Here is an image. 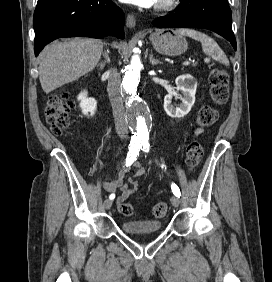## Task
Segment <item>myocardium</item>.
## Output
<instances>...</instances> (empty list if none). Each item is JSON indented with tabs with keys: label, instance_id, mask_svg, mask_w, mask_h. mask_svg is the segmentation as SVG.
<instances>
[{
	"label": "myocardium",
	"instance_id": "myocardium-1",
	"mask_svg": "<svg viewBox=\"0 0 272 282\" xmlns=\"http://www.w3.org/2000/svg\"><path fill=\"white\" fill-rule=\"evenodd\" d=\"M179 0H161L157 2L155 11L160 13H168L178 6Z\"/></svg>",
	"mask_w": 272,
	"mask_h": 282
}]
</instances>
